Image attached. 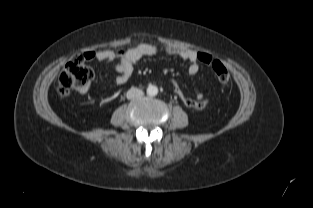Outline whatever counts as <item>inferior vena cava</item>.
<instances>
[{"label": "inferior vena cava", "mask_w": 313, "mask_h": 208, "mask_svg": "<svg viewBox=\"0 0 313 208\" xmlns=\"http://www.w3.org/2000/svg\"><path fill=\"white\" fill-rule=\"evenodd\" d=\"M144 93L141 89L138 88H131L127 91V98L128 99H139L141 97H143Z\"/></svg>", "instance_id": "1"}]
</instances>
